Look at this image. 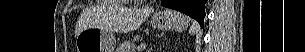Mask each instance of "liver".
<instances>
[{
    "mask_svg": "<svg viewBox=\"0 0 305 52\" xmlns=\"http://www.w3.org/2000/svg\"><path fill=\"white\" fill-rule=\"evenodd\" d=\"M150 8H129L119 4H113L109 12V29L117 33H128L136 30L152 13ZM92 19L88 17L86 12H83L76 26L75 35L89 27H97L92 25Z\"/></svg>",
    "mask_w": 305,
    "mask_h": 52,
    "instance_id": "1",
    "label": "liver"
}]
</instances>
